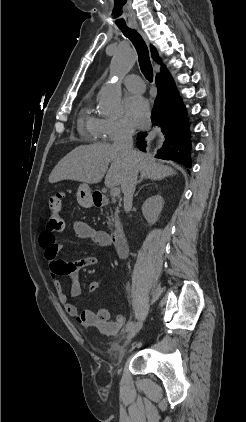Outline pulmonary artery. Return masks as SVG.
I'll return each instance as SVG.
<instances>
[{
	"label": "pulmonary artery",
	"instance_id": "e3ab8cb5",
	"mask_svg": "<svg viewBox=\"0 0 246 422\" xmlns=\"http://www.w3.org/2000/svg\"><path fill=\"white\" fill-rule=\"evenodd\" d=\"M123 84L127 89L135 93H142L145 90V85L142 79L135 74H130L123 79Z\"/></svg>",
	"mask_w": 246,
	"mask_h": 422
}]
</instances>
